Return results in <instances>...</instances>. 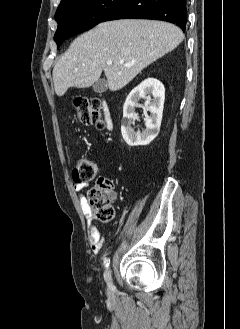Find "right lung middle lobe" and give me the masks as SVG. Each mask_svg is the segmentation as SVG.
<instances>
[{
	"mask_svg": "<svg viewBox=\"0 0 240 329\" xmlns=\"http://www.w3.org/2000/svg\"><path fill=\"white\" fill-rule=\"evenodd\" d=\"M124 0H71L57 9L55 20L58 23L54 40L57 47L78 33L89 30L102 22Z\"/></svg>",
	"mask_w": 240,
	"mask_h": 329,
	"instance_id": "obj_1",
	"label": "right lung middle lobe"
}]
</instances>
